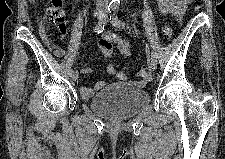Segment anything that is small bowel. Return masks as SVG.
Masks as SVG:
<instances>
[{
    "label": "small bowel",
    "mask_w": 225,
    "mask_h": 159,
    "mask_svg": "<svg viewBox=\"0 0 225 159\" xmlns=\"http://www.w3.org/2000/svg\"><path fill=\"white\" fill-rule=\"evenodd\" d=\"M33 4H35V0H33ZM158 9L163 14H173L177 20H180L187 8L188 0H157ZM39 31L45 45L53 50L57 56H61L63 54L62 49H60L52 40V38L48 35L45 30V26L42 22L39 24ZM60 34L62 37L65 36L66 30L65 28H59ZM116 45L117 49L124 56L131 55V47L128 40L119 37L115 33L111 31H106L102 35V39L99 42V47L102 50L103 47L112 45ZM78 70L81 73H89V69L82 65H79ZM108 74L115 76L117 79H124L125 73L121 70H117L113 65L107 66ZM103 86V82H98L94 87H81L80 91L84 98L88 99L93 96V94L99 90Z\"/></svg>",
    "instance_id": "1"
}]
</instances>
